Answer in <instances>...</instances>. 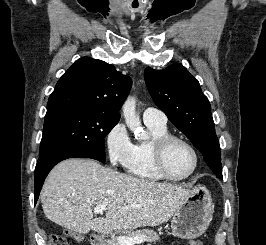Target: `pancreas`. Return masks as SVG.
<instances>
[{"mask_svg":"<svg viewBox=\"0 0 266 245\" xmlns=\"http://www.w3.org/2000/svg\"><path fill=\"white\" fill-rule=\"evenodd\" d=\"M130 237H145V239H147L146 243H155V241H160V235L155 233V231H150V229L134 231V233H130ZM108 245H118V243L117 241H108Z\"/></svg>","mask_w":266,"mask_h":245,"instance_id":"pancreas-1","label":"pancreas"}]
</instances>
